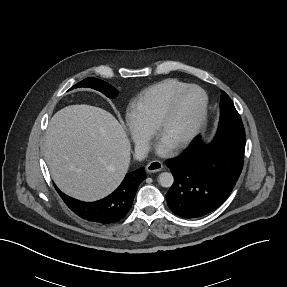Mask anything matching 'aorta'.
<instances>
[{"instance_id": "obj_1", "label": "aorta", "mask_w": 287, "mask_h": 287, "mask_svg": "<svg viewBox=\"0 0 287 287\" xmlns=\"http://www.w3.org/2000/svg\"><path fill=\"white\" fill-rule=\"evenodd\" d=\"M158 182L162 187H171L174 182L173 175L169 172H162L158 176Z\"/></svg>"}]
</instances>
